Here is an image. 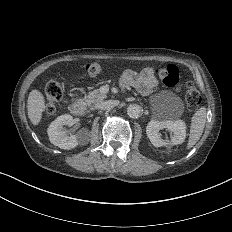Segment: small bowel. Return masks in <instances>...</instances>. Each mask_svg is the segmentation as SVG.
Segmentation results:
<instances>
[{
	"instance_id": "1",
	"label": "small bowel",
	"mask_w": 232,
	"mask_h": 232,
	"mask_svg": "<svg viewBox=\"0 0 232 232\" xmlns=\"http://www.w3.org/2000/svg\"><path fill=\"white\" fill-rule=\"evenodd\" d=\"M123 77L131 83L143 96H150L160 88V81L155 75L153 68H147L142 72L125 70Z\"/></svg>"
}]
</instances>
